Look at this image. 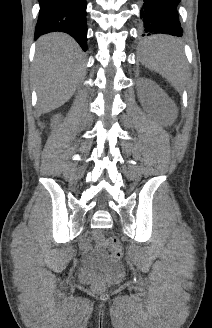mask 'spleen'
<instances>
[{"label": "spleen", "instance_id": "obj_1", "mask_svg": "<svg viewBox=\"0 0 212 328\" xmlns=\"http://www.w3.org/2000/svg\"><path fill=\"white\" fill-rule=\"evenodd\" d=\"M143 64L178 88L185 80V58L180 43L169 36H154L141 48Z\"/></svg>", "mask_w": 212, "mask_h": 328}]
</instances>
